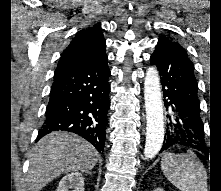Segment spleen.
Here are the masks:
<instances>
[{"instance_id":"obj_1","label":"spleen","mask_w":221,"mask_h":191,"mask_svg":"<svg viewBox=\"0 0 221 191\" xmlns=\"http://www.w3.org/2000/svg\"><path fill=\"white\" fill-rule=\"evenodd\" d=\"M161 169L165 177L180 191H207V172L192 152L164 153Z\"/></svg>"}]
</instances>
